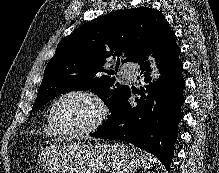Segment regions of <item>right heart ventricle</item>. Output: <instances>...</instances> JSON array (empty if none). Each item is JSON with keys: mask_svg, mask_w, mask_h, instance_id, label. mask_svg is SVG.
I'll use <instances>...</instances> for the list:
<instances>
[{"mask_svg": "<svg viewBox=\"0 0 219 173\" xmlns=\"http://www.w3.org/2000/svg\"><path fill=\"white\" fill-rule=\"evenodd\" d=\"M45 132L50 135V136H58L59 134L54 130V128L52 127L50 121H49V117L47 118V123H46V127H45Z\"/></svg>", "mask_w": 219, "mask_h": 173, "instance_id": "obj_1", "label": "right heart ventricle"}]
</instances>
